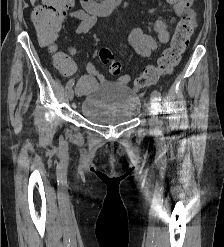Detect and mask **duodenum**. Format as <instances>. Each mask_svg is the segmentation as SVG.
Here are the masks:
<instances>
[{"label":"duodenum","instance_id":"1","mask_svg":"<svg viewBox=\"0 0 224 247\" xmlns=\"http://www.w3.org/2000/svg\"><path fill=\"white\" fill-rule=\"evenodd\" d=\"M122 0H80L82 8L87 12H93L98 16H107Z\"/></svg>","mask_w":224,"mask_h":247}]
</instances>
